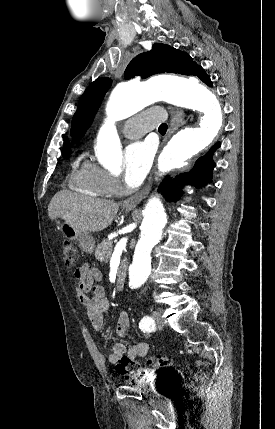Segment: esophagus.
I'll return each mask as SVG.
<instances>
[{
    "label": "esophagus",
    "mask_w": 275,
    "mask_h": 429,
    "mask_svg": "<svg viewBox=\"0 0 275 429\" xmlns=\"http://www.w3.org/2000/svg\"><path fill=\"white\" fill-rule=\"evenodd\" d=\"M170 116L171 118L169 122L168 131L165 139L162 142V145L165 144L167 139L171 137V135L177 130L179 126V120L181 118V114L179 113V111L175 109H170ZM151 184L152 178L150 177L148 183L143 187V189L140 190L138 193L132 195L131 197L127 198L123 202V206L130 208L136 207L140 203V201L149 193L151 189Z\"/></svg>",
    "instance_id": "esophagus-1"
}]
</instances>
